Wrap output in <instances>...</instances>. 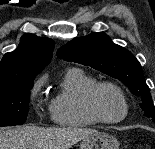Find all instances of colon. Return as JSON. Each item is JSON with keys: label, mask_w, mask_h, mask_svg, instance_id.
I'll return each mask as SVG.
<instances>
[{"label": "colon", "mask_w": 155, "mask_h": 149, "mask_svg": "<svg viewBox=\"0 0 155 149\" xmlns=\"http://www.w3.org/2000/svg\"><path fill=\"white\" fill-rule=\"evenodd\" d=\"M141 148H142V149H149V146H148V145H142Z\"/></svg>", "instance_id": "1"}]
</instances>
